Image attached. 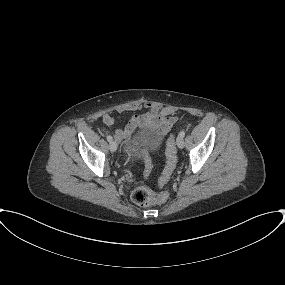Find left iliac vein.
<instances>
[{"mask_svg":"<svg viewBox=\"0 0 285 285\" xmlns=\"http://www.w3.org/2000/svg\"><path fill=\"white\" fill-rule=\"evenodd\" d=\"M176 144L178 148H183L184 147V139L180 135L177 137Z\"/></svg>","mask_w":285,"mask_h":285,"instance_id":"obj_1","label":"left iliac vein"}]
</instances>
